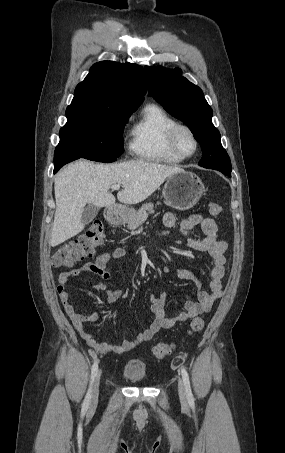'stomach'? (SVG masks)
I'll return each instance as SVG.
<instances>
[{
	"label": "stomach",
	"mask_w": 285,
	"mask_h": 453,
	"mask_svg": "<svg viewBox=\"0 0 285 453\" xmlns=\"http://www.w3.org/2000/svg\"><path fill=\"white\" fill-rule=\"evenodd\" d=\"M204 192L202 180L194 173L187 171L177 172L167 178L163 187L165 202L177 210L192 208L201 198ZM128 211H112L110 220L116 224L127 222Z\"/></svg>",
	"instance_id": "obj_1"
}]
</instances>
